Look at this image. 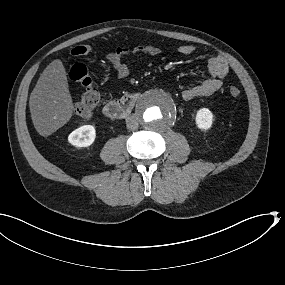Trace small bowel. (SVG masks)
<instances>
[{"label":"small bowel","mask_w":285,"mask_h":285,"mask_svg":"<svg viewBox=\"0 0 285 285\" xmlns=\"http://www.w3.org/2000/svg\"><path fill=\"white\" fill-rule=\"evenodd\" d=\"M195 47L192 45H182L177 48V51L183 55L193 53ZM160 49L154 45L146 44L135 47H119L106 55V59L112 65L119 78H125L129 75V65L125 59L129 56L142 54L145 56H157L160 54ZM208 77L194 86L182 90V97L185 100L195 98H206L217 93L222 85L223 79L228 72V65L221 57H212L208 60Z\"/></svg>","instance_id":"c3829d8e"}]
</instances>
